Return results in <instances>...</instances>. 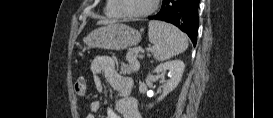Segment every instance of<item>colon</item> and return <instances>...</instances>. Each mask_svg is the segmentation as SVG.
<instances>
[{
    "mask_svg": "<svg viewBox=\"0 0 273 118\" xmlns=\"http://www.w3.org/2000/svg\"><path fill=\"white\" fill-rule=\"evenodd\" d=\"M75 92L79 96L86 95V82L83 77H79L75 82Z\"/></svg>",
    "mask_w": 273,
    "mask_h": 118,
    "instance_id": "colon-1",
    "label": "colon"
}]
</instances>
